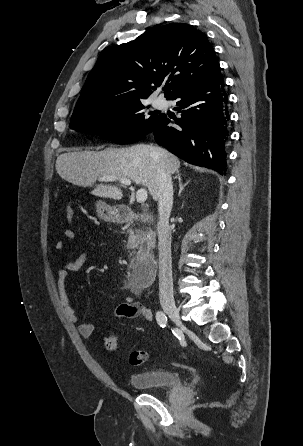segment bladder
Listing matches in <instances>:
<instances>
[{
  "mask_svg": "<svg viewBox=\"0 0 303 446\" xmlns=\"http://www.w3.org/2000/svg\"><path fill=\"white\" fill-rule=\"evenodd\" d=\"M130 384L139 390H166L182 385L180 375L168 369L151 368L145 371L133 373L130 376Z\"/></svg>",
  "mask_w": 303,
  "mask_h": 446,
  "instance_id": "31cf9c89",
  "label": "bladder"
}]
</instances>
